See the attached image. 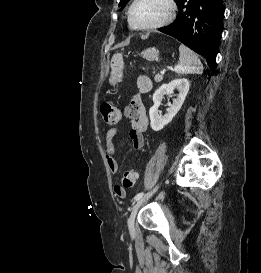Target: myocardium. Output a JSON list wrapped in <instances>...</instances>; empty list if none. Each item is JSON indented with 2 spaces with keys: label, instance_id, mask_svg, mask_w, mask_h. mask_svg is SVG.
<instances>
[{
  "label": "myocardium",
  "instance_id": "obj_1",
  "mask_svg": "<svg viewBox=\"0 0 261 273\" xmlns=\"http://www.w3.org/2000/svg\"><path fill=\"white\" fill-rule=\"evenodd\" d=\"M139 0H133L128 8V12H127V18H128V23L129 26L136 31H152V30H156L159 28H162L168 24H170L176 15V10H177V6L174 0H164L165 4L167 5V12L165 14V16L158 22L150 24V25H146V26H137L134 24L133 22V18H132V12L133 9L135 7V5L137 4Z\"/></svg>",
  "mask_w": 261,
  "mask_h": 273
}]
</instances>
